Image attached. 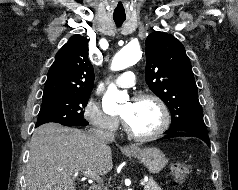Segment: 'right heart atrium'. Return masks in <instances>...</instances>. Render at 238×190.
Listing matches in <instances>:
<instances>
[{
	"label": "right heart atrium",
	"instance_id": "right-heart-atrium-1",
	"mask_svg": "<svg viewBox=\"0 0 238 190\" xmlns=\"http://www.w3.org/2000/svg\"><path fill=\"white\" fill-rule=\"evenodd\" d=\"M83 116L89 124L102 131L115 132L119 127V119L105 113L99 102L93 98L86 103Z\"/></svg>",
	"mask_w": 238,
	"mask_h": 190
}]
</instances>
